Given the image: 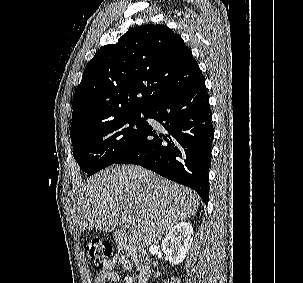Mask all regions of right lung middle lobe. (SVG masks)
<instances>
[{"instance_id": "right-lung-middle-lobe-1", "label": "right lung middle lobe", "mask_w": 303, "mask_h": 283, "mask_svg": "<svg viewBox=\"0 0 303 283\" xmlns=\"http://www.w3.org/2000/svg\"><path fill=\"white\" fill-rule=\"evenodd\" d=\"M147 118V111H134L71 133L73 155L80 168L92 175L114 164L144 133Z\"/></svg>"}]
</instances>
